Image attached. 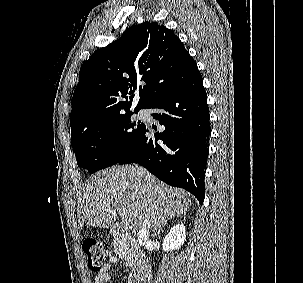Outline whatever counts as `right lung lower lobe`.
Segmentation results:
<instances>
[{
	"mask_svg": "<svg viewBox=\"0 0 303 283\" xmlns=\"http://www.w3.org/2000/svg\"><path fill=\"white\" fill-rule=\"evenodd\" d=\"M165 127L149 136L145 127L132 149L117 163H138L165 183L205 197V166L211 132L207 94L201 74L147 107Z\"/></svg>",
	"mask_w": 303,
	"mask_h": 283,
	"instance_id": "obj_1",
	"label": "right lung lower lobe"
}]
</instances>
